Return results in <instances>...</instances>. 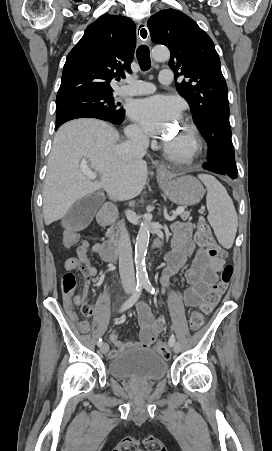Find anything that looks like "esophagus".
<instances>
[{"label": "esophagus", "mask_w": 272, "mask_h": 451, "mask_svg": "<svg viewBox=\"0 0 272 451\" xmlns=\"http://www.w3.org/2000/svg\"><path fill=\"white\" fill-rule=\"evenodd\" d=\"M138 35L139 38L143 41H147L149 40V33L146 29V27L142 24L139 23L138 25ZM155 164L157 165V170L164 176L166 177L167 175V171H168V167L167 165H165L163 162L161 161H156Z\"/></svg>", "instance_id": "obj_1"}]
</instances>
